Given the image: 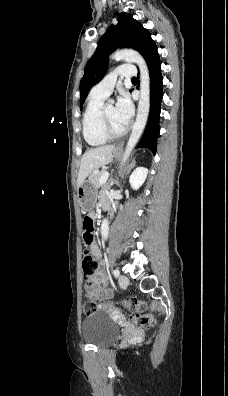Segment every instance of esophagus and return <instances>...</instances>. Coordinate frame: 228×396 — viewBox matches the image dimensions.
I'll return each instance as SVG.
<instances>
[{
    "label": "esophagus",
    "mask_w": 228,
    "mask_h": 396,
    "mask_svg": "<svg viewBox=\"0 0 228 396\" xmlns=\"http://www.w3.org/2000/svg\"><path fill=\"white\" fill-rule=\"evenodd\" d=\"M123 146V144H120V147H122Z\"/></svg>",
    "instance_id": "34e87169"
}]
</instances>
